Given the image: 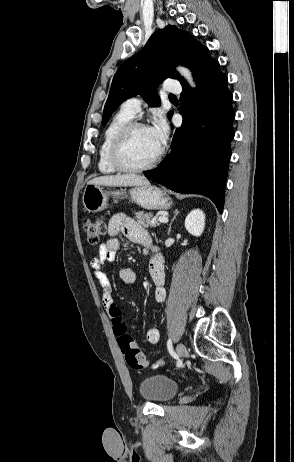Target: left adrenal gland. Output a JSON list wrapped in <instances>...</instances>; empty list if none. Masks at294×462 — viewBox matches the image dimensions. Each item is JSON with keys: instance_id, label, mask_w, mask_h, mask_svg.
<instances>
[{"instance_id": "a2214340", "label": "left adrenal gland", "mask_w": 294, "mask_h": 462, "mask_svg": "<svg viewBox=\"0 0 294 462\" xmlns=\"http://www.w3.org/2000/svg\"><path fill=\"white\" fill-rule=\"evenodd\" d=\"M178 214H179V211H178V210H175V211H174V217L172 218V220H171V222H170V224H169V227H168L167 235L170 234L172 223L174 222V220L176 219V217L178 216Z\"/></svg>"}]
</instances>
